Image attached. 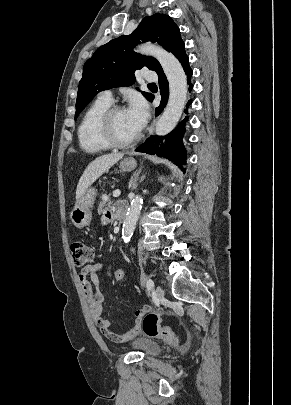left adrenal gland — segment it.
I'll list each match as a JSON object with an SVG mask.
<instances>
[{
    "instance_id": "obj_1",
    "label": "left adrenal gland",
    "mask_w": 291,
    "mask_h": 405,
    "mask_svg": "<svg viewBox=\"0 0 291 405\" xmlns=\"http://www.w3.org/2000/svg\"><path fill=\"white\" fill-rule=\"evenodd\" d=\"M141 170H142V168H139L137 170V172L134 173V175H133V177H132V179L130 181V187H132V190L136 189L137 186H138V176H139ZM144 178H145V176H142L139 182L143 181Z\"/></svg>"
}]
</instances>
